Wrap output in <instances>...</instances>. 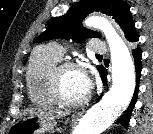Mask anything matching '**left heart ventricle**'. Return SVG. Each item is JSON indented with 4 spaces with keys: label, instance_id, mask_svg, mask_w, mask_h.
Listing matches in <instances>:
<instances>
[{
    "label": "left heart ventricle",
    "instance_id": "b2bd125f",
    "mask_svg": "<svg viewBox=\"0 0 153 134\" xmlns=\"http://www.w3.org/2000/svg\"><path fill=\"white\" fill-rule=\"evenodd\" d=\"M61 89L67 99L81 100L88 95L87 76L79 70H65L61 77Z\"/></svg>",
    "mask_w": 153,
    "mask_h": 134
}]
</instances>
